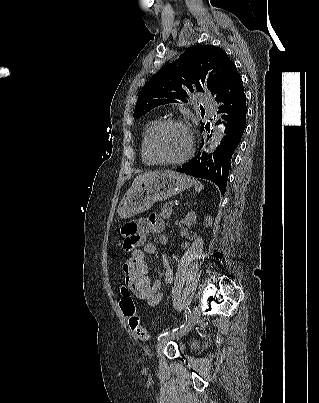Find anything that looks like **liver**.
I'll return each instance as SVG.
<instances>
[{"instance_id": "1", "label": "liver", "mask_w": 319, "mask_h": 403, "mask_svg": "<svg viewBox=\"0 0 319 403\" xmlns=\"http://www.w3.org/2000/svg\"><path fill=\"white\" fill-rule=\"evenodd\" d=\"M156 174H157L156 172H150V173H145V174H142V175L137 176V177L134 179L131 188L134 187L135 185L139 184V183L142 182L143 180H145V179H147V178H149V177H151V176H154V175H156Z\"/></svg>"}]
</instances>
